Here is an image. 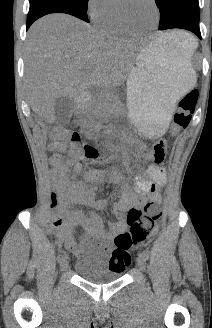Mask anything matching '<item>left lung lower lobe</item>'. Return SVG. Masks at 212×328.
Returning <instances> with one entry per match:
<instances>
[{"label":"left lung lower lobe","mask_w":212,"mask_h":328,"mask_svg":"<svg viewBox=\"0 0 212 328\" xmlns=\"http://www.w3.org/2000/svg\"><path fill=\"white\" fill-rule=\"evenodd\" d=\"M180 28L193 32L198 38L201 39V33L199 28V22H196L189 16L177 15L172 18L166 25L159 26V30Z\"/></svg>","instance_id":"1"}]
</instances>
